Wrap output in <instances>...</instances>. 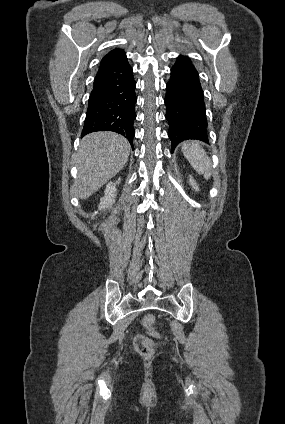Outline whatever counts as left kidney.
Returning <instances> with one entry per match:
<instances>
[{"instance_id": "5707ae66", "label": "left kidney", "mask_w": 285, "mask_h": 424, "mask_svg": "<svg viewBox=\"0 0 285 424\" xmlns=\"http://www.w3.org/2000/svg\"><path fill=\"white\" fill-rule=\"evenodd\" d=\"M189 182H190V185L192 186V188H193L195 191H199L198 185H197L196 181L193 179V177H192V176H190V178H189Z\"/></svg>"}]
</instances>
